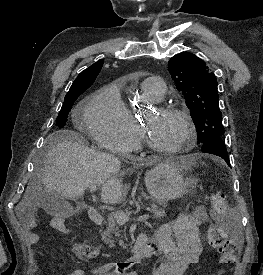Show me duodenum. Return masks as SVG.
<instances>
[{
    "label": "duodenum",
    "instance_id": "1",
    "mask_svg": "<svg viewBox=\"0 0 263 275\" xmlns=\"http://www.w3.org/2000/svg\"><path fill=\"white\" fill-rule=\"evenodd\" d=\"M89 217L95 224L99 225L103 222V216L94 208H89ZM152 255L150 242L146 234L141 233L138 235L128 258L123 259L115 264L121 271H125L132 265L139 263L141 260L148 258Z\"/></svg>",
    "mask_w": 263,
    "mask_h": 275
}]
</instances>
